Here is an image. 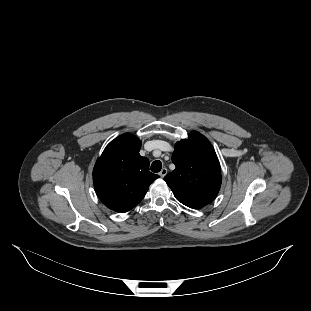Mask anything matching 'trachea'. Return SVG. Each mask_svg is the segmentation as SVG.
Returning a JSON list of instances; mask_svg holds the SVG:
<instances>
[{"label": "trachea", "instance_id": "3493384b", "mask_svg": "<svg viewBox=\"0 0 311 311\" xmlns=\"http://www.w3.org/2000/svg\"><path fill=\"white\" fill-rule=\"evenodd\" d=\"M161 168H162V163L159 160L154 161L151 165V171L154 173L159 172Z\"/></svg>", "mask_w": 311, "mask_h": 311}]
</instances>
